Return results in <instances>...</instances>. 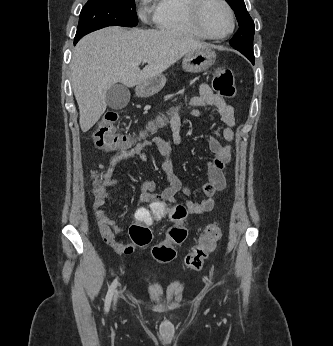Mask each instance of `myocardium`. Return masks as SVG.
<instances>
[{
  "label": "myocardium",
  "mask_w": 333,
  "mask_h": 346,
  "mask_svg": "<svg viewBox=\"0 0 333 346\" xmlns=\"http://www.w3.org/2000/svg\"><path fill=\"white\" fill-rule=\"evenodd\" d=\"M190 1H191L190 3L191 18L196 28L204 36L212 38V39H225L234 32V29L236 26L235 15L231 6L226 0H215L224 6L230 18V28L226 33L222 35H215L211 33L210 31H208V29L205 27L203 23V18H202L203 10L205 6L207 5V3H209L211 0H190Z\"/></svg>",
  "instance_id": "f54148a6"
}]
</instances>
